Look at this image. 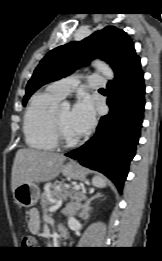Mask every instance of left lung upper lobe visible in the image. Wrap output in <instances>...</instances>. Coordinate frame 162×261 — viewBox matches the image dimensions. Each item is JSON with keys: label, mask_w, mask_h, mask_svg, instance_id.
I'll use <instances>...</instances> for the list:
<instances>
[{"label": "left lung upper lobe", "mask_w": 162, "mask_h": 261, "mask_svg": "<svg viewBox=\"0 0 162 261\" xmlns=\"http://www.w3.org/2000/svg\"><path fill=\"white\" fill-rule=\"evenodd\" d=\"M96 57L110 64L115 77L140 60L130 37L121 29L107 26L80 42H70L46 54L27 83L23 105L42 85L66 77Z\"/></svg>", "instance_id": "obj_1"}]
</instances>
